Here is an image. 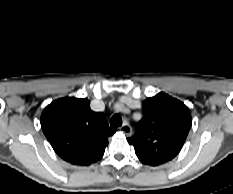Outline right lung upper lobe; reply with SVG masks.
I'll return each instance as SVG.
<instances>
[{
  "label": "right lung upper lobe",
  "instance_id": "1",
  "mask_svg": "<svg viewBox=\"0 0 233 194\" xmlns=\"http://www.w3.org/2000/svg\"><path fill=\"white\" fill-rule=\"evenodd\" d=\"M42 130L54 151L73 165L86 166L102 158L110 129L105 115L93 112L86 98L53 101L41 115Z\"/></svg>",
  "mask_w": 233,
  "mask_h": 194
}]
</instances>
